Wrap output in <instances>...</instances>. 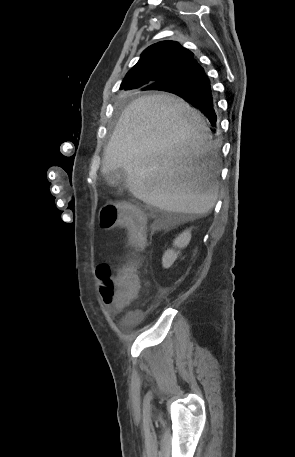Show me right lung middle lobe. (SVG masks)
I'll return each mask as SVG.
<instances>
[{
	"label": "right lung middle lobe",
	"mask_w": 295,
	"mask_h": 457,
	"mask_svg": "<svg viewBox=\"0 0 295 457\" xmlns=\"http://www.w3.org/2000/svg\"><path fill=\"white\" fill-rule=\"evenodd\" d=\"M163 91H168V92H171V93H175L174 90H163Z\"/></svg>",
	"instance_id": "obj_1"
}]
</instances>
